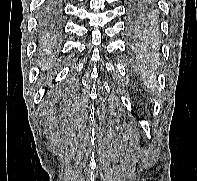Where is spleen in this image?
I'll return each instance as SVG.
<instances>
[{
	"instance_id": "1",
	"label": "spleen",
	"mask_w": 197,
	"mask_h": 181,
	"mask_svg": "<svg viewBox=\"0 0 197 181\" xmlns=\"http://www.w3.org/2000/svg\"><path fill=\"white\" fill-rule=\"evenodd\" d=\"M142 78H143V81H144V84L150 88V84L153 83L155 81V77H154V74H147V73H144L142 75Z\"/></svg>"
}]
</instances>
